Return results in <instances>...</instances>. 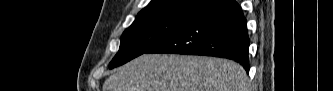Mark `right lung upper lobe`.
<instances>
[{"label":"right lung upper lobe","instance_id":"right-lung-upper-lobe-1","mask_svg":"<svg viewBox=\"0 0 333 91\" xmlns=\"http://www.w3.org/2000/svg\"><path fill=\"white\" fill-rule=\"evenodd\" d=\"M206 0H152L139 12L136 18L181 17L192 19L203 11L201 5ZM215 2L219 0H214Z\"/></svg>","mask_w":333,"mask_h":91}]
</instances>
